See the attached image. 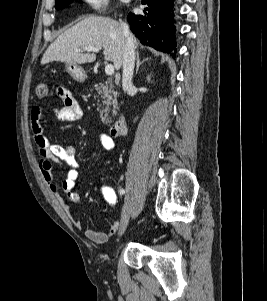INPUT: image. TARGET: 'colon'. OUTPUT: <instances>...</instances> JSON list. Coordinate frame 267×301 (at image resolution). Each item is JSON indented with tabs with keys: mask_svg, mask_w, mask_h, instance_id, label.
Returning <instances> with one entry per match:
<instances>
[{
	"mask_svg": "<svg viewBox=\"0 0 267 301\" xmlns=\"http://www.w3.org/2000/svg\"><path fill=\"white\" fill-rule=\"evenodd\" d=\"M35 92L38 98H44L48 95L49 87L46 83H39L36 86ZM99 193L106 207L111 211H116L118 207V197L115 190L109 185H101Z\"/></svg>",
	"mask_w": 267,
	"mask_h": 301,
	"instance_id": "obj_1",
	"label": "colon"
}]
</instances>
